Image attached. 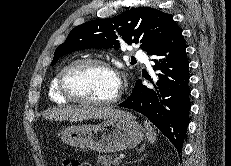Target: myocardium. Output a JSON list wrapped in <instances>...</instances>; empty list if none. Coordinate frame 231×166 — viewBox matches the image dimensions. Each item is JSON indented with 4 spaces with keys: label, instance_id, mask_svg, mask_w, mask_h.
I'll use <instances>...</instances> for the list:
<instances>
[{
    "label": "myocardium",
    "instance_id": "obj_1",
    "mask_svg": "<svg viewBox=\"0 0 231 166\" xmlns=\"http://www.w3.org/2000/svg\"><path fill=\"white\" fill-rule=\"evenodd\" d=\"M86 65H98L101 66L110 72H112L118 79V89L116 94L107 100H93V99H86L83 97H79L71 92V90L68 88L66 80L69 75V73L74 70L75 68L86 66ZM58 90L59 93L67 100L83 104V105H92V106H111L117 103L122 95V85L121 81L119 79L118 73L116 69L111 65L108 61L100 58H93V57H87V58H81L74 60L70 62L68 65H66L60 72L58 77Z\"/></svg>",
    "mask_w": 231,
    "mask_h": 166
}]
</instances>
